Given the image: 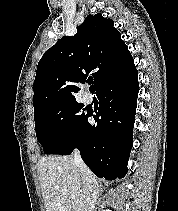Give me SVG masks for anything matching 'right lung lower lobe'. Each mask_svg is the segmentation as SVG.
I'll use <instances>...</instances> for the list:
<instances>
[{
    "instance_id": "98d812e1",
    "label": "right lung lower lobe",
    "mask_w": 178,
    "mask_h": 211,
    "mask_svg": "<svg viewBox=\"0 0 178 211\" xmlns=\"http://www.w3.org/2000/svg\"><path fill=\"white\" fill-rule=\"evenodd\" d=\"M139 92L138 72L132 68L125 75L102 85L97 91L99 108L87 119L76 135L52 154L69 155L78 148L85 164L98 177L123 178L133 145L132 131ZM96 124L91 125L88 117Z\"/></svg>"
}]
</instances>
